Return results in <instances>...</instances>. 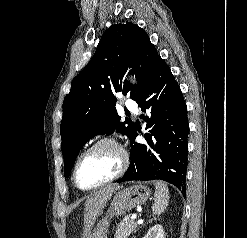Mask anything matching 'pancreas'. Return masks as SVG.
Wrapping results in <instances>:
<instances>
[{"label": "pancreas", "mask_w": 247, "mask_h": 238, "mask_svg": "<svg viewBox=\"0 0 247 238\" xmlns=\"http://www.w3.org/2000/svg\"><path fill=\"white\" fill-rule=\"evenodd\" d=\"M137 224L131 220L123 219L116 230L114 238H128L131 233L136 231Z\"/></svg>", "instance_id": "cf45deb5"}]
</instances>
